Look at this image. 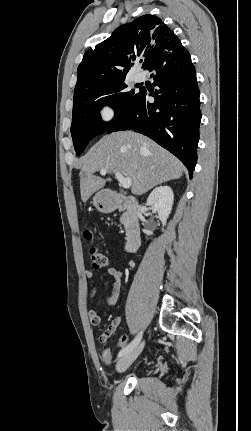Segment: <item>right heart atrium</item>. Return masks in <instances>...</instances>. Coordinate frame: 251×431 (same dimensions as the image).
<instances>
[{
    "label": "right heart atrium",
    "mask_w": 251,
    "mask_h": 431,
    "mask_svg": "<svg viewBox=\"0 0 251 431\" xmlns=\"http://www.w3.org/2000/svg\"><path fill=\"white\" fill-rule=\"evenodd\" d=\"M98 119L101 123H110L115 117V109L111 104L104 103L97 111Z\"/></svg>",
    "instance_id": "obj_1"
}]
</instances>
